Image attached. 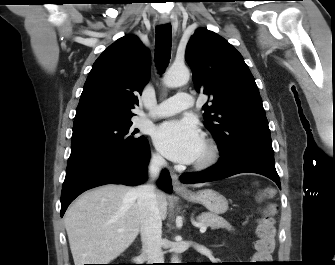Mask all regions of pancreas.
Instances as JSON below:
<instances>
[{"label":"pancreas","instance_id":"1","mask_svg":"<svg viewBox=\"0 0 335 265\" xmlns=\"http://www.w3.org/2000/svg\"><path fill=\"white\" fill-rule=\"evenodd\" d=\"M198 221L200 222V224L211 227V229L226 228L229 231L232 230V226L229 222L213 213H202L198 217Z\"/></svg>","mask_w":335,"mask_h":265}]
</instances>
